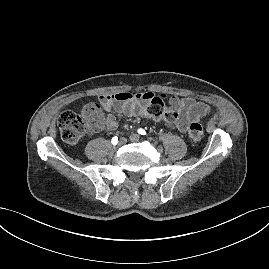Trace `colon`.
I'll use <instances>...</instances> for the list:
<instances>
[{
    "label": "colon",
    "mask_w": 269,
    "mask_h": 269,
    "mask_svg": "<svg viewBox=\"0 0 269 269\" xmlns=\"http://www.w3.org/2000/svg\"><path fill=\"white\" fill-rule=\"evenodd\" d=\"M144 118L172 120L175 111L166 104L160 96H154L141 111ZM101 111L97 104L86 105L81 112L63 111L58 117V127L61 138L67 143L77 142L88 130H95L101 122ZM203 127L194 122L190 125L188 136L193 143H199L203 138Z\"/></svg>",
    "instance_id": "colon-1"
}]
</instances>
